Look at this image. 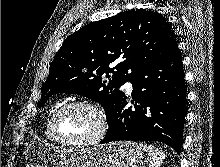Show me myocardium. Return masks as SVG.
<instances>
[{
	"instance_id": "1",
	"label": "myocardium",
	"mask_w": 220,
	"mask_h": 167,
	"mask_svg": "<svg viewBox=\"0 0 220 167\" xmlns=\"http://www.w3.org/2000/svg\"><path fill=\"white\" fill-rule=\"evenodd\" d=\"M73 106L83 107V108L89 110L96 117L97 128L94 131V133L87 138L78 139V140H64V139H61L57 135L56 121H57L58 116L65 109H67L69 107H73ZM49 128H50V133H51L52 139L56 143L63 145V146L84 147V146L94 145V144L100 142L105 137V135L108 131V121H107V117H106L105 112L101 108L96 106L95 104H93L89 101H86V100H72V101L64 103L57 110H55V112L51 116Z\"/></svg>"
}]
</instances>
